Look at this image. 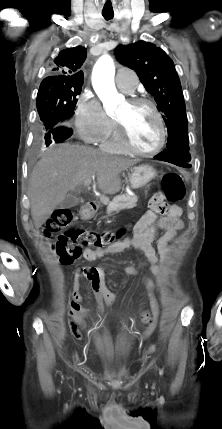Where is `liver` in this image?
Segmentation results:
<instances>
[{"mask_svg":"<svg viewBox=\"0 0 222 429\" xmlns=\"http://www.w3.org/2000/svg\"><path fill=\"white\" fill-rule=\"evenodd\" d=\"M136 160L110 156L94 148L61 144L46 150L29 180L31 215L36 229L77 186L96 176L97 186L106 193L121 188L120 174Z\"/></svg>","mask_w":222,"mask_h":429,"instance_id":"6515ba94","label":"liver"}]
</instances>
